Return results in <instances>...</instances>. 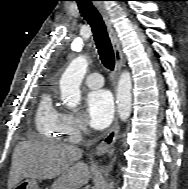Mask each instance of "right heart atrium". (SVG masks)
<instances>
[{"instance_id": "obj_1", "label": "right heart atrium", "mask_w": 188, "mask_h": 189, "mask_svg": "<svg viewBox=\"0 0 188 189\" xmlns=\"http://www.w3.org/2000/svg\"><path fill=\"white\" fill-rule=\"evenodd\" d=\"M65 127L71 139L75 140L79 137L80 133L86 130V126L82 118L75 113L64 114Z\"/></svg>"}]
</instances>
